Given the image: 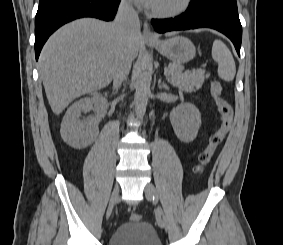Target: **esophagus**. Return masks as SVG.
<instances>
[{
	"label": "esophagus",
	"mask_w": 283,
	"mask_h": 245,
	"mask_svg": "<svg viewBox=\"0 0 283 245\" xmlns=\"http://www.w3.org/2000/svg\"><path fill=\"white\" fill-rule=\"evenodd\" d=\"M142 37L145 41H156L157 40L156 36L150 29V26L147 22H144L143 24Z\"/></svg>",
	"instance_id": "obj_1"
}]
</instances>
